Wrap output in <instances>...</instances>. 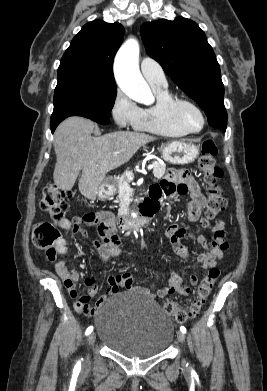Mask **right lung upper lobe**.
<instances>
[{"mask_svg": "<svg viewBox=\"0 0 267 391\" xmlns=\"http://www.w3.org/2000/svg\"><path fill=\"white\" fill-rule=\"evenodd\" d=\"M124 35L120 23L94 20L85 24L65 51L58 78L72 74H92L114 79L113 60Z\"/></svg>", "mask_w": 267, "mask_h": 391, "instance_id": "obj_1", "label": "right lung upper lobe"}]
</instances>
